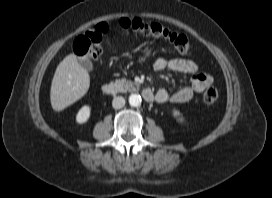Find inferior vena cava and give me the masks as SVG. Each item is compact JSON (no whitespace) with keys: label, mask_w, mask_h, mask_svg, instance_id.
<instances>
[{"label":"inferior vena cava","mask_w":272,"mask_h":198,"mask_svg":"<svg viewBox=\"0 0 272 198\" xmlns=\"http://www.w3.org/2000/svg\"><path fill=\"white\" fill-rule=\"evenodd\" d=\"M125 99L122 96L115 97L112 101V106L115 109H120L124 107Z\"/></svg>","instance_id":"1"}]
</instances>
